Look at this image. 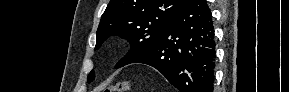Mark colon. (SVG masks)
I'll list each match as a JSON object with an SVG mask.
<instances>
[{
    "label": "colon",
    "instance_id": "obj_1",
    "mask_svg": "<svg viewBox=\"0 0 289 92\" xmlns=\"http://www.w3.org/2000/svg\"><path fill=\"white\" fill-rule=\"evenodd\" d=\"M131 90V85L129 82L127 81H122V82H118L115 85L107 88L104 92H114V91H130Z\"/></svg>",
    "mask_w": 289,
    "mask_h": 92
}]
</instances>
